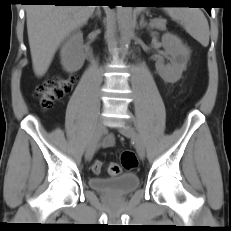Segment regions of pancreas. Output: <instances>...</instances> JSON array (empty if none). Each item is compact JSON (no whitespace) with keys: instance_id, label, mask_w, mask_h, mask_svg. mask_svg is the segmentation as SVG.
<instances>
[{"instance_id":"1","label":"pancreas","mask_w":231,"mask_h":231,"mask_svg":"<svg viewBox=\"0 0 231 231\" xmlns=\"http://www.w3.org/2000/svg\"><path fill=\"white\" fill-rule=\"evenodd\" d=\"M165 25H166L165 20L155 19L152 21V26L160 30H165L166 29Z\"/></svg>"}]
</instances>
